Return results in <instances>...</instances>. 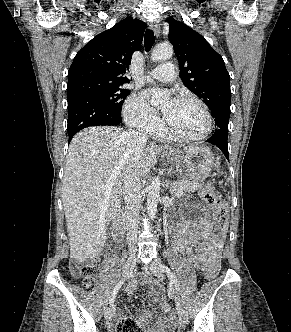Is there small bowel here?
Wrapping results in <instances>:
<instances>
[{"label": "small bowel", "instance_id": "c3829d8e", "mask_svg": "<svg viewBox=\"0 0 291 332\" xmlns=\"http://www.w3.org/2000/svg\"><path fill=\"white\" fill-rule=\"evenodd\" d=\"M224 237L225 230L215 227L207 213H201L193 220L179 223L175 246L178 252L192 260L198 268L204 269L211 261L219 259ZM133 289L134 283H131L128 292L132 293ZM149 298L152 304L159 303L163 312L170 310L159 286H154ZM138 315L143 325L151 320V315L146 310H140ZM172 323V319L160 316L147 332H170Z\"/></svg>", "mask_w": 291, "mask_h": 332}]
</instances>
